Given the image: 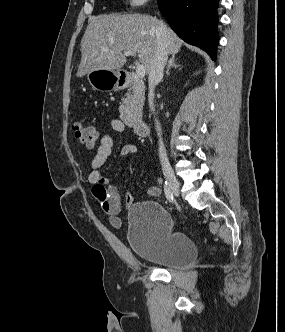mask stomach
I'll use <instances>...</instances> for the list:
<instances>
[{"label":"stomach","instance_id":"0dacf381","mask_svg":"<svg viewBox=\"0 0 285 332\" xmlns=\"http://www.w3.org/2000/svg\"><path fill=\"white\" fill-rule=\"evenodd\" d=\"M87 80L94 90L111 91L119 88L120 72L97 69L87 73Z\"/></svg>","mask_w":285,"mask_h":332}]
</instances>
